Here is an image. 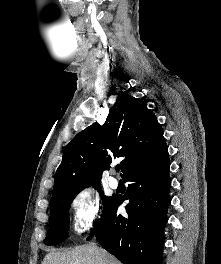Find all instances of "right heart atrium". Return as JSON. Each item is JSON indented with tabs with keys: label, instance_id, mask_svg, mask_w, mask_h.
<instances>
[{
	"label": "right heart atrium",
	"instance_id": "right-heart-atrium-1",
	"mask_svg": "<svg viewBox=\"0 0 221 264\" xmlns=\"http://www.w3.org/2000/svg\"><path fill=\"white\" fill-rule=\"evenodd\" d=\"M72 229L82 235L94 227L102 215L100 198L90 189H82L70 203Z\"/></svg>",
	"mask_w": 221,
	"mask_h": 264
}]
</instances>
